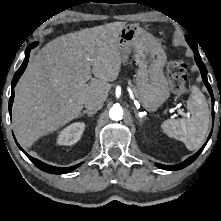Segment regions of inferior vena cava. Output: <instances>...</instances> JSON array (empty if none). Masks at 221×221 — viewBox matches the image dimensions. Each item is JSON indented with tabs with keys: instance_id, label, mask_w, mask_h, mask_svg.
<instances>
[{
	"instance_id": "602c4592",
	"label": "inferior vena cava",
	"mask_w": 221,
	"mask_h": 221,
	"mask_svg": "<svg viewBox=\"0 0 221 221\" xmlns=\"http://www.w3.org/2000/svg\"><path fill=\"white\" fill-rule=\"evenodd\" d=\"M104 103V100L102 98L99 97H91L88 100H86L85 102V107L89 110V111H98L102 108Z\"/></svg>"
}]
</instances>
